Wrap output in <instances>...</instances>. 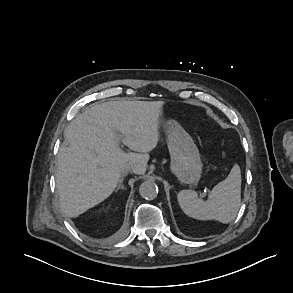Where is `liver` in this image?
I'll list each match as a JSON object with an SVG mask.
<instances>
[{
	"label": "liver",
	"mask_w": 293,
	"mask_h": 293,
	"mask_svg": "<svg viewBox=\"0 0 293 293\" xmlns=\"http://www.w3.org/2000/svg\"><path fill=\"white\" fill-rule=\"evenodd\" d=\"M162 101H109L86 108L64 132L68 146L59 149L56 186L60 207L77 217L107 199L122 169L146 172L149 152L159 141ZM120 142L134 152L126 153Z\"/></svg>",
	"instance_id": "1"
}]
</instances>
